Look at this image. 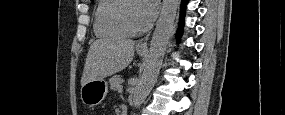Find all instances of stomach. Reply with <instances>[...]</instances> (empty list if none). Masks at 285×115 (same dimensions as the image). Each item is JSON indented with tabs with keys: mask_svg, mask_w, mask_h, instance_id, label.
Returning a JSON list of instances; mask_svg holds the SVG:
<instances>
[{
	"mask_svg": "<svg viewBox=\"0 0 285 115\" xmlns=\"http://www.w3.org/2000/svg\"><path fill=\"white\" fill-rule=\"evenodd\" d=\"M138 54L144 55L145 51L137 50ZM108 92L107 83L104 80L95 79L87 82L81 87V100L89 107L99 105Z\"/></svg>",
	"mask_w": 285,
	"mask_h": 115,
	"instance_id": "obj_1",
	"label": "stomach"
}]
</instances>
